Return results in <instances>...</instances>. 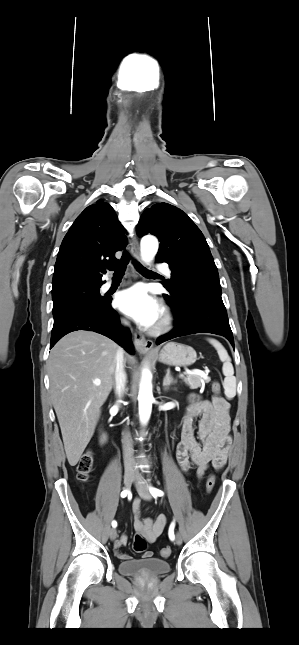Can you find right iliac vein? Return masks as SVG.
Segmentation results:
<instances>
[{
    "label": "right iliac vein",
    "instance_id": "obj_1",
    "mask_svg": "<svg viewBox=\"0 0 299 645\" xmlns=\"http://www.w3.org/2000/svg\"><path fill=\"white\" fill-rule=\"evenodd\" d=\"M134 479H135V475H134L133 473H126V474L124 475V484H125V487H126L127 489H128V488H130V486H131V484L133 483ZM109 535H110V539H111L112 541H114V540L117 538V536H118V533H117L116 528H112V529L110 530V534H109Z\"/></svg>",
    "mask_w": 299,
    "mask_h": 645
}]
</instances>
